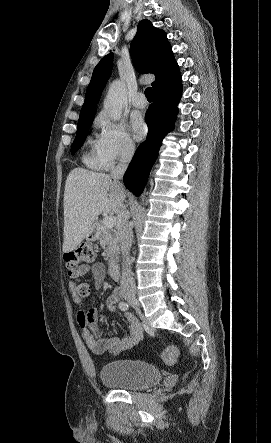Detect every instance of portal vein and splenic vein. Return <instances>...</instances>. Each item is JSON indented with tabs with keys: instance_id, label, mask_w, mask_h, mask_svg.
<instances>
[{
	"instance_id": "1",
	"label": "portal vein and splenic vein",
	"mask_w": 271,
	"mask_h": 443,
	"mask_svg": "<svg viewBox=\"0 0 271 443\" xmlns=\"http://www.w3.org/2000/svg\"><path fill=\"white\" fill-rule=\"evenodd\" d=\"M104 227H114L116 225V218L114 216H107V218H104L103 220Z\"/></svg>"
}]
</instances>
